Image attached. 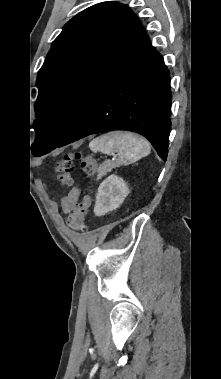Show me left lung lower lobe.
Instances as JSON below:
<instances>
[{"label":"left lung lower lobe","instance_id":"1","mask_svg":"<svg viewBox=\"0 0 221 379\" xmlns=\"http://www.w3.org/2000/svg\"><path fill=\"white\" fill-rule=\"evenodd\" d=\"M171 100L169 71L162 56L148 41L94 100L57 147L91 134L128 130L146 137L158 155L166 160Z\"/></svg>","mask_w":221,"mask_h":379}]
</instances>
